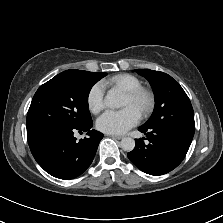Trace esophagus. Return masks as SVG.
Masks as SVG:
<instances>
[{"label":"esophagus","instance_id":"34e87169","mask_svg":"<svg viewBox=\"0 0 223 223\" xmlns=\"http://www.w3.org/2000/svg\"><path fill=\"white\" fill-rule=\"evenodd\" d=\"M106 136H107V137H111V138H113V139H117V140L122 139V137H121V136L114 135V134H107Z\"/></svg>","mask_w":223,"mask_h":223}]
</instances>
